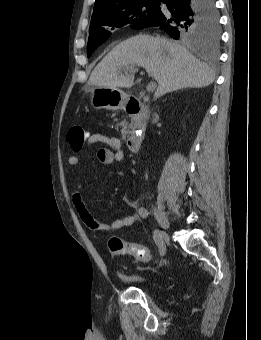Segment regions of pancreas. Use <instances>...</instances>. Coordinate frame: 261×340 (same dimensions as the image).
Listing matches in <instances>:
<instances>
[{
  "label": "pancreas",
  "instance_id": "cf45deb5",
  "mask_svg": "<svg viewBox=\"0 0 261 340\" xmlns=\"http://www.w3.org/2000/svg\"><path fill=\"white\" fill-rule=\"evenodd\" d=\"M121 133H122V139H125L126 136L130 133V131L128 130V124L127 123L123 124V128L121 130Z\"/></svg>",
  "mask_w": 261,
  "mask_h": 340
}]
</instances>
